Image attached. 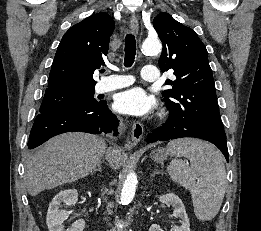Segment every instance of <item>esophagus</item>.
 Segmentation results:
<instances>
[{
	"instance_id": "obj_1",
	"label": "esophagus",
	"mask_w": 261,
	"mask_h": 231,
	"mask_svg": "<svg viewBox=\"0 0 261 231\" xmlns=\"http://www.w3.org/2000/svg\"><path fill=\"white\" fill-rule=\"evenodd\" d=\"M130 28L133 34L138 35L139 23L135 15H132L130 18ZM143 133V125L140 122H134L131 130V139L133 144H137L141 140Z\"/></svg>"
}]
</instances>
